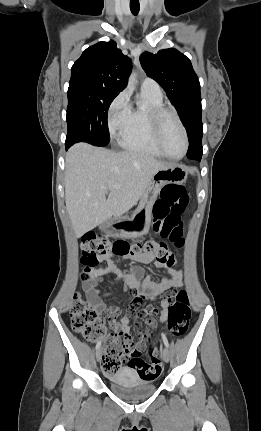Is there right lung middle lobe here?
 Wrapping results in <instances>:
<instances>
[{
  "mask_svg": "<svg viewBox=\"0 0 261 431\" xmlns=\"http://www.w3.org/2000/svg\"><path fill=\"white\" fill-rule=\"evenodd\" d=\"M67 94L68 133L65 145L70 147L76 142L107 145L110 140L108 108L119 92L87 82H70Z\"/></svg>",
  "mask_w": 261,
  "mask_h": 431,
  "instance_id": "1",
  "label": "right lung middle lobe"
}]
</instances>
